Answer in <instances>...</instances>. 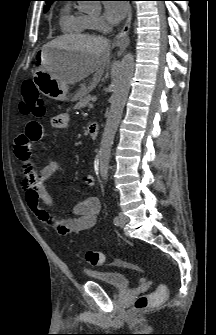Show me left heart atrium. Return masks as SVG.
<instances>
[{"label":"left heart atrium","instance_id":"39dd6f15","mask_svg":"<svg viewBox=\"0 0 216 335\" xmlns=\"http://www.w3.org/2000/svg\"><path fill=\"white\" fill-rule=\"evenodd\" d=\"M128 4L122 1H107L105 16L111 24H118L128 13Z\"/></svg>","mask_w":216,"mask_h":335}]
</instances>
